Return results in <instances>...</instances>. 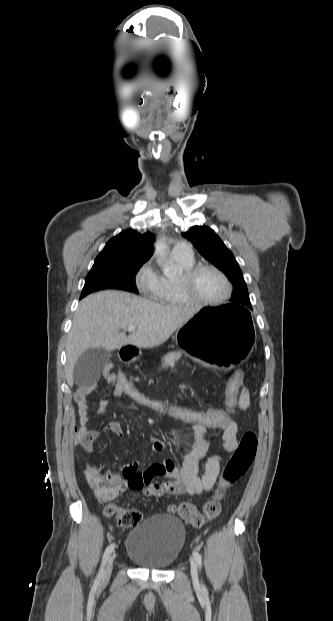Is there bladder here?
Returning a JSON list of instances; mask_svg holds the SVG:
<instances>
[{"label": "bladder", "instance_id": "obj_1", "mask_svg": "<svg viewBox=\"0 0 333 621\" xmlns=\"http://www.w3.org/2000/svg\"><path fill=\"white\" fill-rule=\"evenodd\" d=\"M185 543V526L176 516L157 514L134 527L127 537L126 552L133 563L167 570Z\"/></svg>", "mask_w": 333, "mask_h": 621}]
</instances>
